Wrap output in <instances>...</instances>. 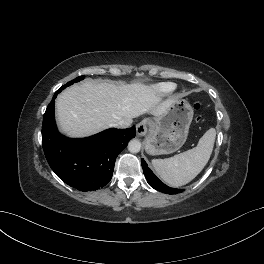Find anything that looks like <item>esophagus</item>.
I'll use <instances>...</instances> for the list:
<instances>
[{
  "mask_svg": "<svg viewBox=\"0 0 264 264\" xmlns=\"http://www.w3.org/2000/svg\"><path fill=\"white\" fill-rule=\"evenodd\" d=\"M150 123V119L145 118L136 125V131L138 136L142 137L146 135Z\"/></svg>",
  "mask_w": 264,
  "mask_h": 264,
  "instance_id": "obj_1",
  "label": "esophagus"
}]
</instances>
